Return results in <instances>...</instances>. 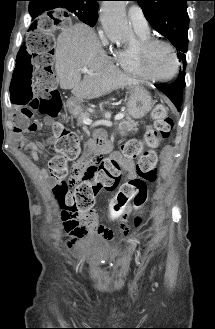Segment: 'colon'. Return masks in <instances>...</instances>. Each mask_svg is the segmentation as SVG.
Segmentation results:
<instances>
[{"instance_id": "1", "label": "colon", "mask_w": 215, "mask_h": 329, "mask_svg": "<svg viewBox=\"0 0 215 329\" xmlns=\"http://www.w3.org/2000/svg\"><path fill=\"white\" fill-rule=\"evenodd\" d=\"M71 14H38L32 20L27 32V41L20 55H14L16 81H11L7 91L10 103L25 121L33 111L49 118H56L61 109V98L56 88V77L52 69L54 59V38L59 32H66L70 26ZM153 128H149L144 141L132 139L122 148V154L137 159V172L143 182H154L157 177L156 153L153 150L160 140L168 138L173 130V119L168 109L158 104L152 112ZM24 132H35L37 127L19 126ZM57 154L49 161L50 176L56 181L54 194L59 202L63 218L86 215L94 206L96 196L102 191H113L121 180V167L114 158L94 157L82 169H72L70 177L67 165L79 153V137L65 126L55 125ZM148 150H144V146ZM147 199H145L146 201ZM112 203V202H111ZM141 218H136L139 224Z\"/></svg>"}]
</instances>
